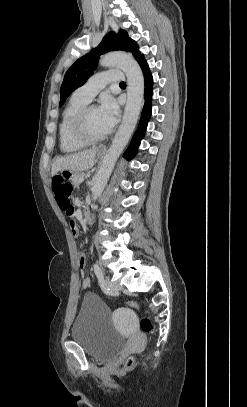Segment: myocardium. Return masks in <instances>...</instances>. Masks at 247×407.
Here are the masks:
<instances>
[{"instance_id":"f54148a6","label":"myocardium","mask_w":247,"mask_h":407,"mask_svg":"<svg viewBox=\"0 0 247 407\" xmlns=\"http://www.w3.org/2000/svg\"><path fill=\"white\" fill-rule=\"evenodd\" d=\"M94 108H96L94 105H86L81 108L76 114L72 125L75 137L87 145L96 144L105 140L112 132V130L109 129L106 133L100 136H93L89 133L86 124V117L88 112Z\"/></svg>"}]
</instances>
